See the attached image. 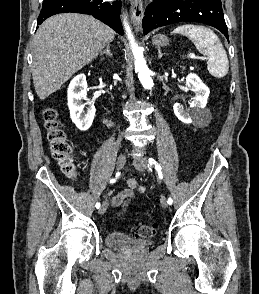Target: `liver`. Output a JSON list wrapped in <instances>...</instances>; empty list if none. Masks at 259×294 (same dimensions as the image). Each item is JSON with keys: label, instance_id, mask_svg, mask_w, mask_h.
Listing matches in <instances>:
<instances>
[{"label": "liver", "instance_id": "liver-1", "mask_svg": "<svg viewBox=\"0 0 259 294\" xmlns=\"http://www.w3.org/2000/svg\"><path fill=\"white\" fill-rule=\"evenodd\" d=\"M115 32L97 19L78 13L54 15L34 38L32 77L41 100L57 91L114 40Z\"/></svg>", "mask_w": 259, "mask_h": 294}]
</instances>
